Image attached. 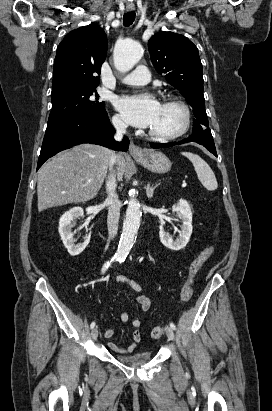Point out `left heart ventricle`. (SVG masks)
<instances>
[{
  "label": "left heart ventricle",
  "instance_id": "obj_1",
  "mask_svg": "<svg viewBox=\"0 0 272 411\" xmlns=\"http://www.w3.org/2000/svg\"><path fill=\"white\" fill-rule=\"evenodd\" d=\"M182 122L183 114L178 107L162 103L151 130L160 134H170L177 131Z\"/></svg>",
  "mask_w": 272,
  "mask_h": 411
}]
</instances>
